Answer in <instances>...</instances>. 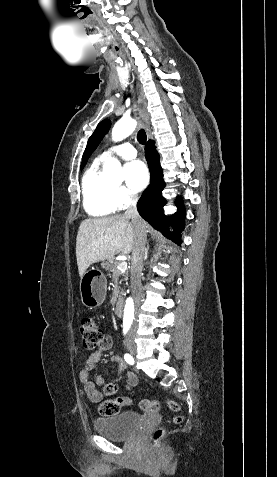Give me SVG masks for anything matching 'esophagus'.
<instances>
[{
  "label": "esophagus",
  "instance_id": "obj_1",
  "mask_svg": "<svg viewBox=\"0 0 277 477\" xmlns=\"http://www.w3.org/2000/svg\"><path fill=\"white\" fill-rule=\"evenodd\" d=\"M136 87L138 91V102H139L140 114L143 120L144 128L146 129V131H148L150 128V115L147 111V101H146L145 94L141 85L137 83Z\"/></svg>",
  "mask_w": 277,
  "mask_h": 477
}]
</instances>
